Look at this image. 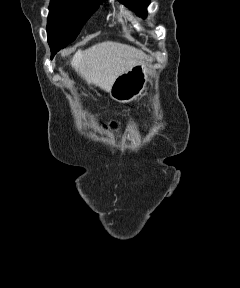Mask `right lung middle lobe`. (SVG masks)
<instances>
[{"instance_id":"right-lung-middle-lobe-1","label":"right lung middle lobe","mask_w":240,"mask_h":288,"mask_svg":"<svg viewBox=\"0 0 240 288\" xmlns=\"http://www.w3.org/2000/svg\"><path fill=\"white\" fill-rule=\"evenodd\" d=\"M101 1L105 0H51L47 24L51 52L56 54L75 40Z\"/></svg>"}]
</instances>
